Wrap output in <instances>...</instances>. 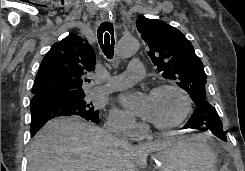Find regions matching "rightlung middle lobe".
I'll return each instance as SVG.
<instances>
[{"mask_svg":"<svg viewBox=\"0 0 245 171\" xmlns=\"http://www.w3.org/2000/svg\"><path fill=\"white\" fill-rule=\"evenodd\" d=\"M85 94L83 95H77V96H66V95H60L58 98H60L65 103L73 106L75 109L81 111L83 114L91 117L99 116V111L95 110L92 105L87 104L84 101Z\"/></svg>","mask_w":245,"mask_h":171,"instance_id":"1","label":"right lung middle lobe"}]
</instances>
